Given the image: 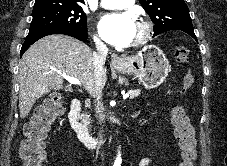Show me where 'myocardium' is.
Wrapping results in <instances>:
<instances>
[{"mask_svg":"<svg viewBox=\"0 0 227 166\" xmlns=\"http://www.w3.org/2000/svg\"><path fill=\"white\" fill-rule=\"evenodd\" d=\"M140 26V35L139 37L133 42L134 47H139L146 44L152 37V26L145 20L140 19L139 21Z\"/></svg>","mask_w":227,"mask_h":166,"instance_id":"myocardium-1","label":"myocardium"}]
</instances>
